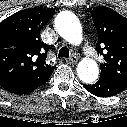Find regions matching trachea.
I'll list each match as a JSON object with an SVG mask.
<instances>
[{"instance_id":"3493384b","label":"trachea","mask_w":127,"mask_h":127,"mask_svg":"<svg viewBox=\"0 0 127 127\" xmlns=\"http://www.w3.org/2000/svg\"><path fill=\"white\" fill-rule=\"evenodd\" d=\"M69 56H70V52H69V49L67 47H62L59 50L58 58H60V57H66V58H68Z\"/></svg>"}]
</instances>
